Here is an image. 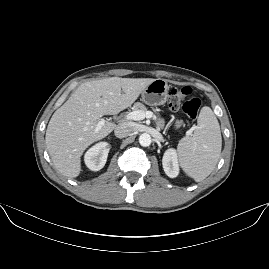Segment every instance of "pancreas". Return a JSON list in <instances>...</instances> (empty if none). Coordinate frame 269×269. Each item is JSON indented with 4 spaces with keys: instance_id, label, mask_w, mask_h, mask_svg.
<instances>
[{
    "instance_id": "obj_1",
    "label": "pancreas",
    "mask_w": 269,
    "mask_h": 269,
    "mask_svg": "<svg viewBox=\"0 0 269 269\" xmlns=\"http://www.w3.org/2000/svg\"><path fill=\"white\" fill-rule=\"evenodd\" d=\"M133 109L136 111H138V110L143 111L144 113H146L148 110L147 107L140 102L135 103ZM151 109H152L154 115L156 116V118H159L160 117L159 112L154 107H151Z\"/></svg>"
}]
</instances>
